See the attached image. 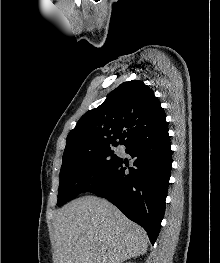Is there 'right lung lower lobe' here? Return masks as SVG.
<instances>
[{"mask_svg": "<svg viewBox=\"0 0 220 263\" xmlns=\"http://www.w3.org/2000/svg\"><path fill=\"white\" fill-rule=\"evenodd\" d=\"M126 152L134 167L126 171L120 159L102 178L83 190L104 197L130 220L142 226L155 243L165 212V199L172 165L168 130L157 137L140 136L129 142Z\"/></svg>", "mask_w": 220, "mask_h": 263, "instance_id": "1", "label": "right lung lower lobe"}]
</instances>
